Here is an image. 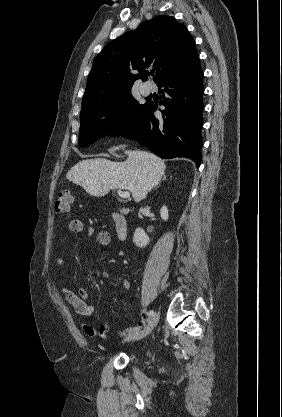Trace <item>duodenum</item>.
I'll use <instances>...</instances> for the list:
<instances>
[{"mask_svg": "<svg viewBox=\"0 0 282 417\" xmlns=\"http://www.w3.org/2000/svg\"><path fill=\"white\" fill-rule=\"evenodd\" d=\"M113 222L118 238L121 241H124L128 234V222L126 216L122 213H114Z\"/></svg>", "mask_w": 282, "mask_h": 417, "instance_id": "410a0bca", "label": "duodenum"}]
</instances>
